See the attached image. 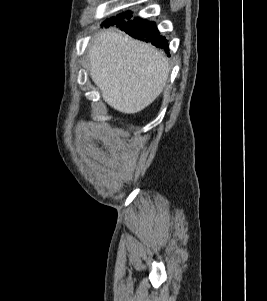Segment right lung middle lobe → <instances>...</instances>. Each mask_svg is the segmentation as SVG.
<instances>
[{"label": "right lung middle lobe", "mask_w": 267, "mask_h": 301, "mask_svg": "<svg viewBox=\"0 0 267 301\" xmlns=\"http://www.w3.org/2000/svg\"><path fill=\"white\" fill-rule=\"evenodd\" d=\"M130 16H131V13L128 11L125 14H121L120 16L111 18L112 22L110 21V19H108L106 22L103 23V25H105V26H109L108 24L113 25V24H116V23L124 20V18H129Z\"/></svg>", "instance_id": "right-lung-middle-lobe-1"}]
</instances>
